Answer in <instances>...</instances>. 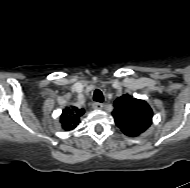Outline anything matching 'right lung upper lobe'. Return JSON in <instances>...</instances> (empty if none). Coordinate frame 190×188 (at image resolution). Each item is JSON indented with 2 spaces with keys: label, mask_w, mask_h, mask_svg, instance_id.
I'll list each match as a JSON object with an SVG mask.
<instances>
[{
  "label": "right lung upper lobe",
  "mask_w": 190,
  "mask_h": 188,
  "mask_svg": "<svg viewBox=\"0 0 190 188\" xmlns=\"http://www.w3.org/2000/svg\"><path fill=\"white\" fill-rule=\"evenodd\" d=\"M84 113V109H78L75 106L66 107L60 116L62 128L66 131L74 129L78 125L80 117Z\"/></svg>",
  "instance_id": "obj_1"
}]
</instances>
